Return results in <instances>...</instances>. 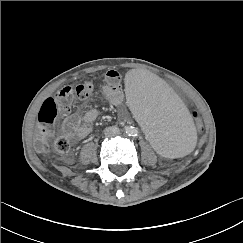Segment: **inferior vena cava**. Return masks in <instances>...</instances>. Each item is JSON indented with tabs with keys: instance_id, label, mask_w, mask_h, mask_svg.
Segmentation results:
<instances>
[{
	"instance_id": "inferior-vena-cava-1",
	"label": "inferior vena cava",
	"mask_w": 243,
	"mask_h": 243,
	"mask_svg": "<svg viewBox=\"0 0 243 243\" xmlns=\"http://www.w3.org/2000/svg\"><path fill=\"white\" fill-rule=\"evenodd\" d=\"M119 132V128L115 127V126H112V127H107L105 128L104 130V134L105 135H108V136H111V135H115Z\"/></svg>"
}]
</instances>
